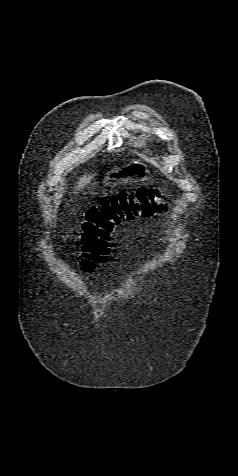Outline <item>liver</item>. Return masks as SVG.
I'll return each mask as SVG.
<instances>
[{"instance_id":"liver-1","label":"liver","mask_w":238,"mask_h":476,"mask_svg":"<svg viewBox=\"0 0 238 476\" xmlns=\"http://www.w3.org/2000/svg\"><path fill=\"white\" fill-rule=\"evenodd\" d=\"M94 176L95 175H88V176L85 175V176L79 178L76 188L78 190L83 188V186L87 185L93 179Z\"/></svg>"}]
</instances>
